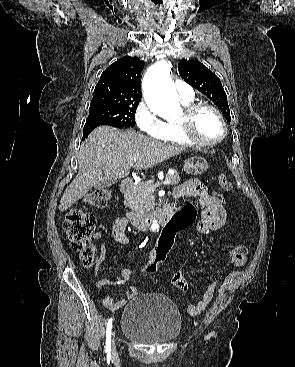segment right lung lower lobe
Returning <instances> with one entry per match:
<instances>
[{
    "mask_svg": "<svg viewBox=\"0 0 295 367\" xmlns=\"http://www.w3.org/2000/svg\"><path fill=\"white\" fill-rule=\"evenodd\" d=\"M123 128H127V127H123ZM89 134H90V132L85 137H83V138H87Z\"/></svg>",
    "mask_w": 295,
    "mask_h": 367,
    "instance_id": "98d812e1",
    "label": "right lung lower lobe"
}]
</instances>
